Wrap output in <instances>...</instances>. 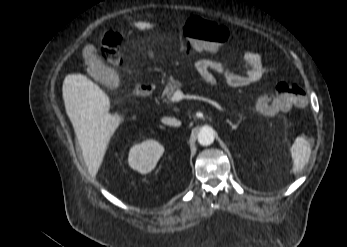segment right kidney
Segmentation results:
<instances>
[{"label": "right kidney", "mask_w": 347, "mask_h": 247, "mask_svg": "<svg viewBox=\"0 0 347 247\" xmlns=\"http://www.w3.org/2000/svg\"><path fill=\"white\" fill-rule=\"evenodd\" d=\"M163 152V146L157 141L146 140L141 144H135L130 149L128 162L131 168L146 174L155 168Z\"/></svg>", "instance_id": "1"}]
</instances>
